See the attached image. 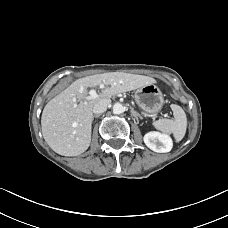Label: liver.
Masks as SVG:
<instances>
[{
	"label": "liver",
	"mask_w": 228,
	"mask_h": 228,
	"mask_svg": "<svg viewBox=\"0 0 228 228\" xmlns=\"http://www.w3.org/2000/svg\"><path fill=\"white\" fill-rule=\"evenodd\" d=\"M154 78L124 72H108L80 78L50 100L41 116L46 143L63 156L85 152L91 142L93 107L113 95L154 84ZM103 86L97 98L88 99L89 87Z\"/></svg>",
	"instance_id": "liver-1"
}]
</instances>
